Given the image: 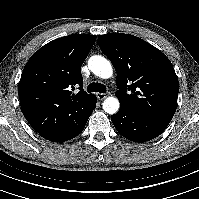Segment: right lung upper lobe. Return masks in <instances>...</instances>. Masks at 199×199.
Masks as SVG:
<instances>
[{
    "instance_id": "1",
    "label": "right lung upper lobe",
    "mask_w": 199,
    "mask_h": 199,
    "mask_svg": "<svg viewBox=\"0 0 199 199\" xmlns=\"http://www.w3.org/2000/svg\"><path fill=\"white\" fill-rule=\"evenodd\" d=\"M96 36L68 35L32 55L21 75L18 94L24 117L42 136L77 124L96 99L83 90L81 66ZM79 87L77 94L71 91Z\"/></svg>"
}]
</instances>
